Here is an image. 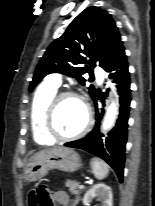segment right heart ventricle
I'll return each instance as SVG.
<instances>
[{"label":"right heart ventricle","instance_id":"1","mask_svg":"<svg viewBox=\"0 0 155 206\" xmlns=\"http://www.w3.org/2000/svg\"><path fill=\"white\" fill-rule=\"evenodd\" d=\"M57 87L45 82L36 91L30 109V124L34 141L39 145H51L54 140L46 133L44 128V113Z\"/></svg>","mask_w":155,"mask_h":206}]
</instances>
